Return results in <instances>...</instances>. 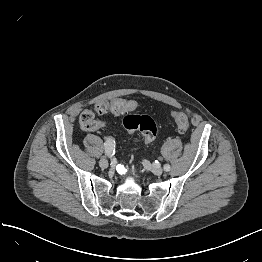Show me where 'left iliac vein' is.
<instances>
[{"label":"left iliac vein","instance_id":"obj_1","mask_svg":"<svg viewBox=\"0 0 262 262\" xmlns=\"http://www.w3.org/2000/svg\"><path fill=\"white\" fill-rule=\"evenodd\" d=\"M143 164L157 176L161 175L163 172L161 167L152 165L148 161H144Z\"/></svg>","mask_w":262,"mask_h":262}]
</instances>
